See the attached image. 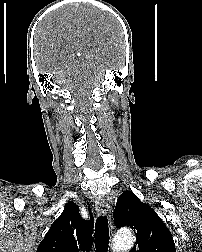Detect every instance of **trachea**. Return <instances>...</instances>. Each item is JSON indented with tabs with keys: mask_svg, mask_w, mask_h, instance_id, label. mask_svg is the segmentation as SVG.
I'll return each instance as SVG.
<instances>
[{
	"mask_svg": "<svg viewBox=\"0 0 202 252\" xmlns=\"http://www.w3.org/2000/svg\"><path fill=\"white\" fill-rule=\"evenodd\" d=\"M94 238L96 252H106L109 243V227L105 215L96 220Z\"/></svg>",
	"mask_w": 202,
	"mask_h": 252,
	"instance_id": "1",
	"label": "trachea"
}]
</instances>
